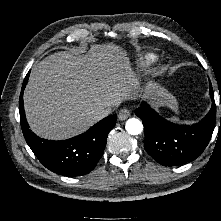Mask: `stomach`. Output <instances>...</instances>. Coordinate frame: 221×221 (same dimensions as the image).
I'll return each mask as SVG.
<instances>
[{"mask_svg":"<svg viewBox=\"0 0 221 221\" xmlns=\"http://www.w3.org/2000/svg\"><path fill=\"white\" fill-rule=\"evenodd\" d=\"M148 92L152 95L157 107H169L175 109L176 101L168 91L156 83L150 82L147 85Z\"/></svg>","mask_w":221,"mask_h":221,"instance_id":"stomach-1","label":"stomach"}]
</instances>
